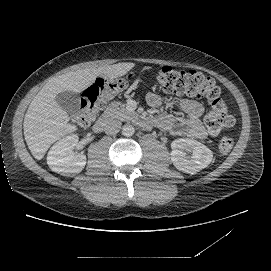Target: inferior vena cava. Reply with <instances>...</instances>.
Here are the masks:
<instances>
[{
  "instance_id": "602c4592",
  "label": "inferior vena cava",
  "mask_w": 271,
  "mask_h": 271,
  "mask_svg": "<svg viewBox=\"0 0 271 271\" xmlns=\"http://www.w3.org/2000/svg\"><path fill=\"white\" fill-rule=\"evenodd\" d=\"M121 125V121L117 119H109L104 127V131L108 135H115L120 131Z\"/></svg>"
}]
</instances>
